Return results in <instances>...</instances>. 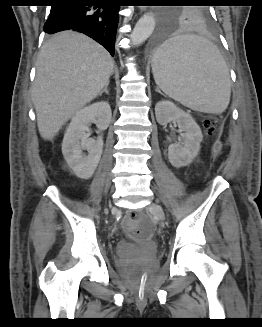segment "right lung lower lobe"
Returning a JSON list of instances; mask_svg holds the SVG:
<instances>
[{
	"label": "right lung lower lobe",
	"instance_id": "obj_1",
	"mask_svg": "<svg viewBox=\"0 0 262 327\" xmlns=\"http://www.w3.org/2000/svg\"><path fill=\"white\" fill-rule=\"evenodd\" d=\"M44 32L54 34L64 30L82 32L104 46L114 56L118 26L117 5L85 6L76 0H52Z\"/></svg>",
	"mask_w": 262,
	"mask_h": 327
}]
</instances>
